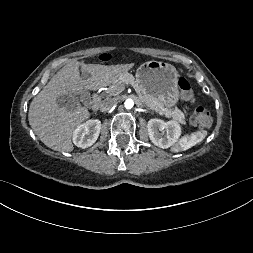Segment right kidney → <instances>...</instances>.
Here are the masks:
<instances>
[{
	"mask_svg": "<svg viewBox=\"0 0 253 253\" xmlns=\"http://www.w3.org/2000/svg\"><path fill=\"white\" fill-rule=\"evenodd\" d=\"M101 122L92 119L79 125L73 132V143L82 149L93 145L100 134Z\"/></svg>",
	"mask_w": 253,
	"mask_h": 253,
	"instance_id": "right-kidney-1",
	"label": "right kidney"
}]
</instances>
